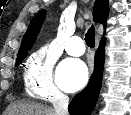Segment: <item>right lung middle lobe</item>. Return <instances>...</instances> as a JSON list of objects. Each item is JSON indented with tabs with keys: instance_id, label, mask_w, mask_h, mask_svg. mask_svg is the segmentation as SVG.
<instances>
[{
	"instance_id": "dd1d6c3e",
	"label": "right lung middle lobe",
	"mask_w": 131,
	"mask_h": 115,
	"mask_svg": "<svg viewBox=\"0 0 131 115\" xmlns=\"http://www.w3.org/2000/svg\"><path fill=\"white\" fill-rule=\"evenodd\" d=\"M29 51V50H28ZM28 51H26L24 54L20 55L19 57H17L16 60V66H18L19 64H21V62L23 61V59L26 57Z\"/></svg>"
}]
</instances>
